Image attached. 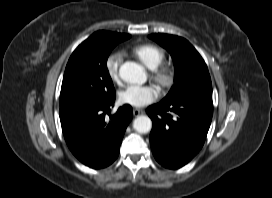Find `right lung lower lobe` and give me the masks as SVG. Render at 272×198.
Instances as JSON below:
<instances>
[{"mask_svg":"<svg viewBox=\"0 0 272 198\" xmlns=\"http://www.w3.org/2000/svg\"><path fill=\"white\" fill-rule=\"evenodd\" d=\"M115 98L105 103L80 104L60 108V120L71 152L91 168H104L119 154L125 130L132 119V107L124 105L110 115Z\"/></svg>","mask_w":272,"mask_h":198,"instance_id":"obj_1","label":"right lung lower lobe"}]
</instances>
